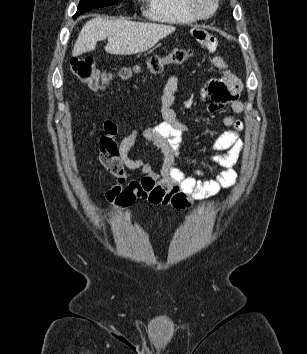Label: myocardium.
<instances>
[{
	"mask_svg": "<svg viewBox=\"0 0 307 354\" xmlns=\"http://www.w3.org/2000/svg\"><path fill=\"white\" fill-rule=\"evenodd\" d=\"M189 11L198 19H207L212 17L219 6V0H211V6L208 10L200 7L199 0H186Z\"/></svg>",
	"mask_w": 307,
	"mask_h": 354,
	"instance_id": "1",
	"label": "myocardium"
}]
</instances>
